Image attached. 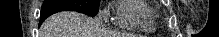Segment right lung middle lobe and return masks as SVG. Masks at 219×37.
Masks as SVG:
<instances>
[{
    "mask_svg": "<svg viewBox=\"0 0 219 37\" xmlns=\"http://www.w3.org/2000/svg\"><path fill=\"white\" fill-rule=\"evenodd\" d=\"M98 7V0H45L42 5L41 13L55 9H66L93 17L98 13Z\"/></svg>",
    "mask_w": 219,
    "mask_h": 37,
    "instance_id": "dd1d6c3e",
    "label": "right lung middle lobe"
}]
</instances>
